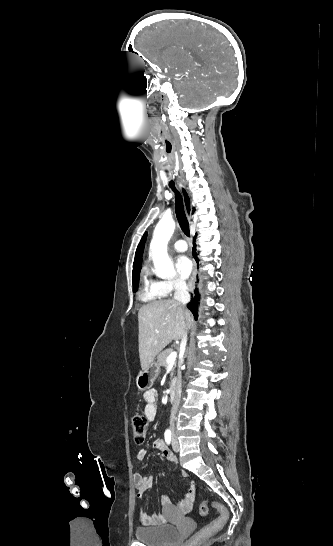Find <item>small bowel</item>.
Returning <instances> with one entry per match:
<instances>
[{
    "label": "small bowel",
    "instance_id": "1",
    "mask_svg": "<svg viewBox=\"0 0 333 546\" xmlns=\"http://www.w3.org/2000/svg\"><path fill=\"white\" fill-rule=\"evenodd\" d=\"M157 391L155 389L147 390L143 394V399L145 401V416L149 421H153L157 416ZM153 446L160 450L163 458L170 464H176V457L166 448L162 440H156L153 443ZM147 455L145 449H140L136 458L139 461H143ZM134 486L136 489V495L139 499H143L145 492L151 487L153 478L152 476L142 475L140 473H135L133 475ZM161 505L163 508L162 513L149 515L147 513H140L141 523L145 526H158L165 524L167 521V514L171 511L177 509L183 515L189 514L193 510V504L195 500V488L190 487L184 494L183 497L174 505L171 500L163 495L161 496Z\"/></svg>",
    "mask_w": 333,
    "mask_h": 546
}]
</instances>
